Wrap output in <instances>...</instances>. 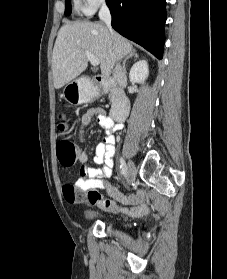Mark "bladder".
Wrapping results in <instances>:
<instances>
[{"instance_id": "1", "label": "bladder", "mask_w": 227, "mask_h": 279, "mask_svg": "<svg viewBox=\"0 0 227 279\" xmlns=\"http://www.w3.org/2000/svg\"><path fill=\"white\" fill-rule=\"evenodd\" d=\"M98 218H99L98 214H88V215L85 216V220L87 222L97 220Z\"/></svg>"}]
</instances>
